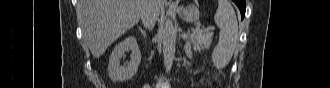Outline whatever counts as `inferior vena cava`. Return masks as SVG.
I'll list each match as a JSON object with an SVG mask.
<instances>
[{"label": "inferior vena cava", "instance_id": "602c4592", "mask_svg": "<svg viewBox=\"0 0 330 88\" xmlns=\"http://www.w3.org/2000/svg\"><path fill=\"white\" fill-rule=\"evenodd\" d=\"M156 0H147V5L141 15V20L146 28L152 29L158 17V11L155 7Z\"/></svg>", "mask_w": 330, "mask_h": 88}]
</instances>
